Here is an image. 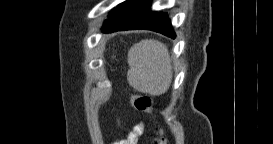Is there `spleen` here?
Masks as SVG:
<instances>
[{
  "instance_id": "1",
  "label": "spleen",
  "mask_w": 273,
  "mask_h": 144,
  "mask_svg": "<svg viewBox=\"0 0 273 144\" xmlns=\"http://www.w3.org/2000/svg\"><path fill=\"white\" fill-rule=\"evenodd\" d=\"M129 84L153 96L164 94L172 80V66L166 45L154 39L141 40L128 52Z\"/></svg>"
}]
</instances>
